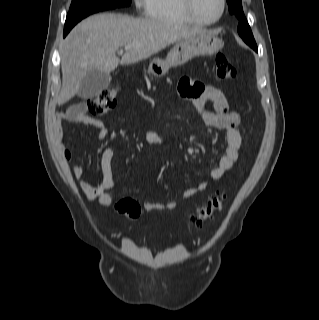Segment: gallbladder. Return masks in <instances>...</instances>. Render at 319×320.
Returning <instances> with one entry per match:
<instances>
[{
  "label": "gallbladder",
  "mask_w": 319,
  "mask_h": 320,
  "mask_svg": "<svg viewBox=\"0 0 319 320\" xmlns=\"http://www.w3.org/2000/svg\"><path fill=\"white\" fill-rule=\"evenodd\" d=\"M111 82V76L109 73L92 70L88 72L83 78L77 95L82 99H91L105 90Z\"/></svg>",
  "instance_id": "1"
}]
</instances>
